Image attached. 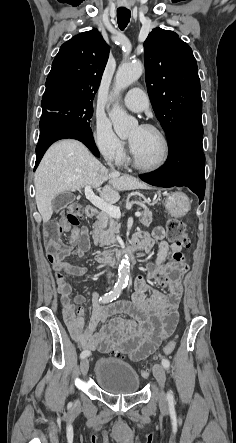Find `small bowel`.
Here are the masks:
<instances>
[{
  "label": "small bowel",
  "instance_id": "small-bowel-1",
  "mask_svg": "<svg viewBox=\"0 0 236 443\" xmlns=\"http://www.w3.org/2000/svg\"><path fill=\"white\" fill-rule=\"evenodd\" d=\"M158 242L159 252L155 263L148 265L146 275H139L135 281L132 301L117 302L111 306L98 304V293L92 292L94 301L88 322L83 305L87 299L83 295L72 297L73 287L66 280V275L83 276L87 268L67 261L50 258L54 270L62 315L71 337L87 351L114 345L126 347L134 360H141L150 355L156 347L174 331L178 321L177 308L182 295L181 277L188 271L183 259L182 247L164 240V231L157 227L153 237L142 232L134 237L132 246L139 250L150 251L154 242ZM64 252L77 258H84L90 249L87 228L73 229L68 244H61ZM173 261H166L168 253ZM155 279L167 289V293L151 290L149 280ZM127 313L133 321L120 316ZM109 323L101 330L98 327L105 321Z\"/></svg>",
  "mask_w": 236,
  "mask_h": 443
}]
</instances>
